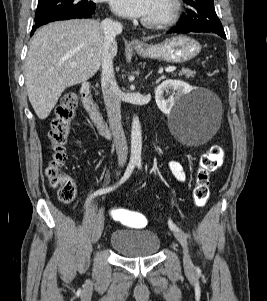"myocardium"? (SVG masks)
I'll return each instance as SVG.
<instances>
[{"label": "myocardium", "instance_id": "myocardium-1", "mask_svg": "<svg viewBox=\"0 0 267 301\" xmlns=\"http://www.w3.org/2000/svg\"><path fill=\"white\" fill-rule=\"evenodd\" d=\"M167 12L156 19H142V24L150 28H164L173 25L179 19L182 12L181 0H168Z\"/></svg>", "mask_w": 267, "mask_h": 301}]
</instances>
